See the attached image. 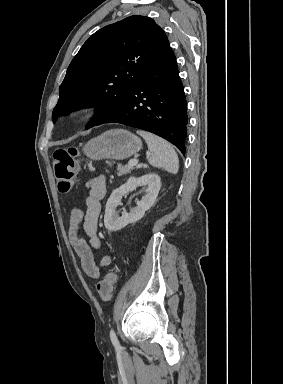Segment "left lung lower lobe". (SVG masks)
Listing matches in <instances>:
<instances>
[{
	"label": "left lung lower lobe",
	"mask_w": 283,
	"mask_h": 384,
	"mask_svg": "<svg viewBox=\"0 0 283 384\" xmlns=\"http://www.w3.org/2000/svg\"><path fill=\"white\" fill-rule=\"evenodd\" d=\"M111 122L152 132L185 154L187 104L170 47L137 81L125 104L100 124Z\"/></svg>",
	"instance_id": "0a47b994"
}]
</instances>
